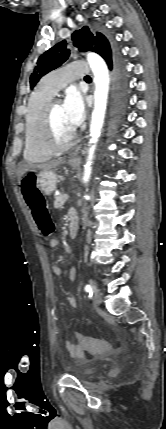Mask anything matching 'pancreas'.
I'll list each match as a JSON object with an SVG mask.
<instances>
[{
	"mask_svg": "<svg viewBox=\"0 0 166 429\" xmlns=\"http://www.w3.org/2000/svg\"><path fill=\"white\" fill-rule=\"evenodd\" d=\"M64 193H61L57 196H55V201H54V208L56 209H60L63 207L64 203H65V198H64Z\"/></svg>",
	"mask_w": 166,
	"mask_h": 429,
	"instance_id": "1",
	"label": "pancreas"
}]
</instances>
